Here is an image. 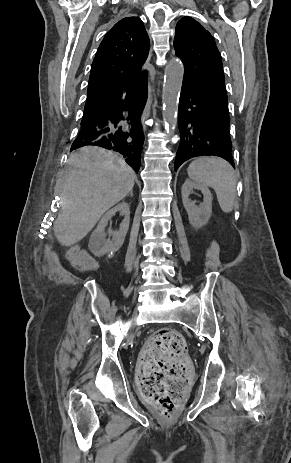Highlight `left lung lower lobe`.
Returning <instances> with one entry per match:
<instances>
[{"label": "left lung lower lobe", "instance_id": "obj_1", "mask_svg": "<svg viewBox=\"0 0 291 463\" xmlns=\"http://www.w3.org/2000/svg\"><path fill=\"white\" fill-rule=\"evenodd\" d=\"M178 127L180 143L175 171L185 161L198 156H218L234 167L228 111L215 105L199 91L182 86Z\"/></svg>", "mask_w": 291, "mask_h": 463}]
</instances>
